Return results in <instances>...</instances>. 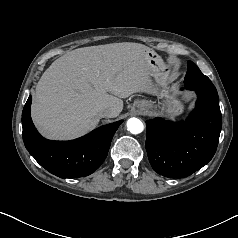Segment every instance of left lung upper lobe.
I'll use <instances>...</instances> for the list:
<instances>
[{
  "instance_id": "5c2ea615",
  "label": "left lung upper lobe",
  "mask_w": 238,
  "mask_h": 238,
  "mask_svg": "<svg viewBox=\"0 0 238 238\" xmlns=\"http://www.w3.org/2000/svg\"><path fill=\"white\" fill-rule=\"evenodd\" d=\"M188 72L186 74V84L194 87H198L205 91L217 94L215 86L210 79L205 76L200 69L191 61L187 64Z\"/></svg>"
}]
</instances>
